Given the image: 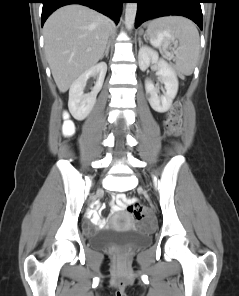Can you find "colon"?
Wrapping results in <instances>:
<instances>
[{
  "mask_svg": "<svg viewBox=\"0 0 239 296\" xmlns=\"http://www.w3.org/2000/svg\"><path fill=\"white\" fill-rule=\"evenodd\" d=\"M165 126L169 135H180L182 127V107L180 101H176L167 113ZM64 130L67 135H71L73 133L72 122L66 121L64 123ZM127 210L137 220H142L151 216L149 209L137 202H130L127 206Z\"/></svg>",
  "mask_w": 239,
  "mask_h": 296,
  "instance_id": "obj_1",
  "label": "colon"
}]
</instances>
